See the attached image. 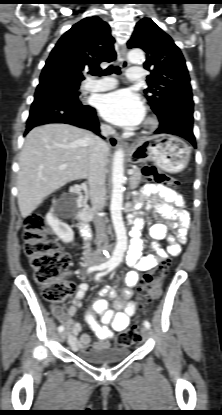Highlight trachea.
<instances>
[{
  "label": "trachea",
  "instance_id": "obj_1",
  "mask_svg": "<svg viewBox=\"0 0 222 415\" xmlns=\"http://www.w3.org/2000/svg\"><path fill=\"white\" fill-rule=\"evenodd\" d=\"M112 73L120 74L121 73L120 67L119 66H115V65H110L104 71H93L92 72V75L105 76V75H110Z\"/></svg>",
  "mask_w": 222,
  "mask_h": 415
}]
</instances>
